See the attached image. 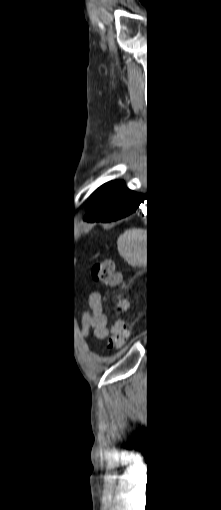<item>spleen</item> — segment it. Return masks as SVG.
I'll return each instance as SVG.
<instances>
[{
  "mask_svg": "<svg viewBox=\"0 0 221 510\" xmlns=\"http://www.w3.org/2000/svg\"><path fill=\"white\" fill-rule=\"evenodd\" d=\"M145 231L133 228L124 231L118 238V251L127 261L139 264L145 257Z\"/></svg>",
  "mask_w": 221,
  "mask_h": 510,
  "instance_id": "obj_1",
  "label": "spleen"
}]
</instances>
